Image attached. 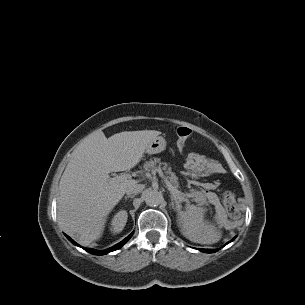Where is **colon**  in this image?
<instances>
[{"label": "colon", "instance_id": "colon-1", "mask_svg": "<svg viewBox=\"0 0 305 305\" xmlns=\"http://www.w3.org/2000/svg\"><path fill=\"white\" fill-rule=\"evenodd\" d=\"M175 133L177 136V143L179 148H183L189 136L191 135V130L184 126H177L175 128ZM222 202L231 218H236L239 213V206L235 194L232 191H226L223 194Z\"/></svg>", "mask_w": 305, "mask_h": 305}]
</instances>
